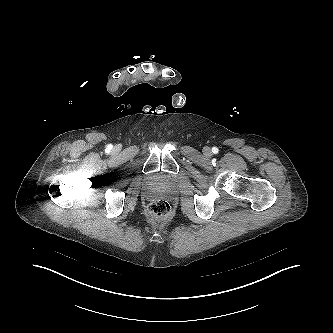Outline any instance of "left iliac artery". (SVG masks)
Returning <instances> with one entry per match:
<instances>
[{
  "instance_id": "1",
  "label": "left iliac artery",
  "mask_w": 333,
  "mask_h": 333,
  "mask_svg": "<svg viewBox=\"0 0 333 333\" xmlns=\"http://www.w3.org/2000/svg\"><path fill=\"white\" fill-rule=\"evenodd\" d=\"M212 152H213L214 154L218 153V148H217V147H213V148H212Z\"/></svg>"
}]
</instances>
